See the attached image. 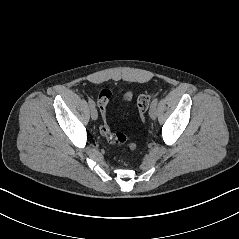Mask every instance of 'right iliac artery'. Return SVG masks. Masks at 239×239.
Instances as JSON below:
<instances>
[{"label":"right iliac artery","instance_id":"1","mask_svg":"<svg viewBox=\"0 0 239 239\" xmlns=\"http://www.w3.org/2000/svg\"><path fill=\"white\" fill-rule=\"evenodd\" d=\"M88 103H89L90 107H95V103L91 98H88Z\"/></svg>","mask_w":239,"mask_h":239}]
</instances>
